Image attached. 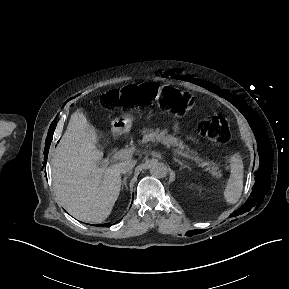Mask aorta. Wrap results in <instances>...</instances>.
I'll use <instances>...</instances> for the list:
<instances>
[{
  "label": "aorta",
  "mask_w": 289,
  "mask_h": 289,
  "mask_svg": "<svg viewBox=\"0 0 289 289\" xmlns=\"http://www.w3.org/2000/svg\"><path fill=\"white\" fill-rule=\"evenodd\" d=\"M150 174L155 178H164L168 174V168L160 162H153L150 166Z\"/></svg>",
  "instance_id": "1"
}]
</instances>
